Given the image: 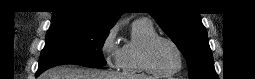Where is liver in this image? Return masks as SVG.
<instances>
[{
	"mask_svg": "<svg viewBox=\"0 0 255 79\" xmlns=\"http://www.w3.org/2000/svg\"><path fill=\"white\" fill-rule=\"evenodd\" d=\"M39 79H151L149 76H128L116 72L78 68L62 65L51 68L39 76Z\"/></svg>",
	"mask_w": 255,
	"mask_h": 79,
	"instance_id": "1",
	"label": "liver"
}]
</instances>
